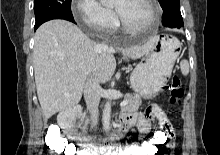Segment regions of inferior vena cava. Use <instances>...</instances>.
I'll list each match as a JSON object with an SVG mask.
<instances>
[{
    "mask_svg": "<svg viewBox=\"0 0 220 155\" xmlns=\"http://www.w3.org/2000/svg\"><path fill=\"white\" fill-rule=\"evenodd\" d=\"M102 88L95 78L87 80L84 86V98L86 101L87 109L91 114L92 127H95L98 123V106Z\"/></svg>",
    "mask_w": 220,
    "mask_h": 155,
    "instance_id": "602c4592",
    "label": "inferior vena cava"
}]
</instances>
